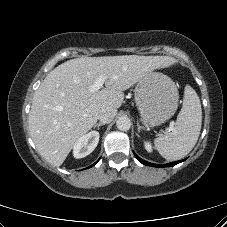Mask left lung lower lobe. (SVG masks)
<instances>
[{"label":"left lung lower lobe","instance_id":"1","mask_svg":"<svg viewBox=\"0 0 227 227\" xmlns=\"http://www.w3.org/2000/svg\"><path fill=\"white\" fill-rule=\"evenodd\" d=\"M134 155L136 156V158L144 165H147V166H151V167H171V166H174L184 160H181V161H175V162H171V163H168V164H162V165H158V164H153V163H150V162H147V161H144L142 160L141 158H139L135 153Z\"/></svg>","mask_w":227,"mask_h":227}]
</instances>
